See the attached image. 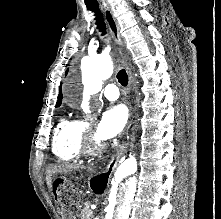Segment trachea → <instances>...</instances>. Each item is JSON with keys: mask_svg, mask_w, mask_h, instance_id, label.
<instances>
[{"mask_svg": "<svg viewBox=\"0 0 221 219\" xmlns=\"http://www.w3.org/2000/svg\"><path fill=\"white\" fill-rule=\"evenodd\" d=\"M85 4L87 9L95 14L97 29L102 33V35H105L106 26L98 4L96 2H86ZM117 79L122 86H126L128 84V75L124 69L119 70L117 73Z\"/></svg>", "mask_w": 221, "mask_h": 219, "instance_id": "trachea-1", "label": "trachea"}]
</instances>
